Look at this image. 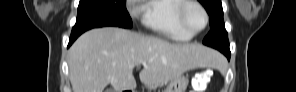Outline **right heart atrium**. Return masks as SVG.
Segmentation results:
<instances>
[{"mask_svg":"<svg viewBox=\"0 0 296 92\" xmlns=\"http://www.w3.org/2000/svg\"><path fill=\"white\" fill-rule=\"evenodd\" d=\"M129 12L133 17H137L140 14V8L134 3H130Z\"/></svg>","mask_w":296,"mask_h":92,"instance_id":"d8ad5b80","label":"right heart atrium"}]
</instances>
